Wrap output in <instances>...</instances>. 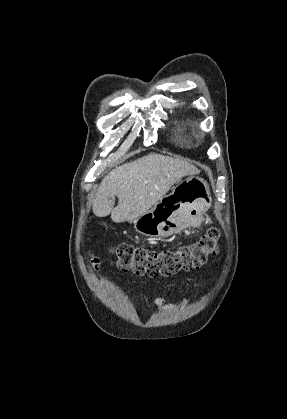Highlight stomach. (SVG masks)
<instances>
[{
  "label": "stomach",
  "mask_w": 287,
  "mask_h": 419,
  "mask_svg": "<svg viewBox=\"0 0 287 419\" xmlns=\"http://www.w3.org/2000/svg\"><path fill=\"white\" fill-rule=\"evenodd\" d=\"M211 204L207 182L199 176L180 181L143 215L128 220L136 231L148 237H169L180 233L203 217Z\"/></svg>",
  "instance_id": "0dacf381"
}]
</instances>
